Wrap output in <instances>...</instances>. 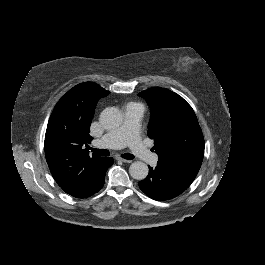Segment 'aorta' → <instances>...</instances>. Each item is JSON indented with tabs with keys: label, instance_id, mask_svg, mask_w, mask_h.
<instances>
[{
	"label": "aorta",
	"instance_id": "762f6f07",
	"mask_svg": "<svg viewBox=\"0 0 265 265\" xmlns=\"http://www.w3.org/2000/svg\"><path fill=\"white\" fill-rule=\"evenodd\" d=\"M122 113L116 107H107L100 114V123L107 129L118 128L122 123ZM148 166L141 161L133 162L129 167V173L136 180H143L148 175Z\"/></svg>",
	"mask_w": 265,
	"mask_h": 265
}]
</instances>
